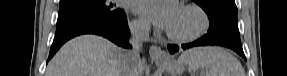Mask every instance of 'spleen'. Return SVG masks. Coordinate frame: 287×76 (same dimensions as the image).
Returning <instances> with one entry per match:
<instances>
[{
	"mask_svg": "<svg viewBox=\"0 0 287 76\" xmlns=\"http://www.w3.org/2000/svg\"><path fill=\"white\" fill-rule=\"evenodd\" d=\"M178 60L188 64V71L193 74L206 68V76H245L238 59L222 47H195L182 53Z\"/></svg>",
	"mask_w": 287,
	"mask_h": 76,
	"instance_id": "1",
	"label": "spleen"
}]
</instances>
